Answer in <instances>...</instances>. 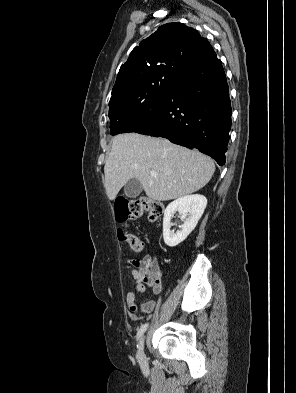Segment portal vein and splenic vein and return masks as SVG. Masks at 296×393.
<instances>
[{"mask_svg": "<svg viewBox=\"0 0 296 393\" xmlns=\"http://www.w3.org/2000/svg\"><path fill=\"white\" fill-rule=\"evenodd\" d=\"M151 176L156 177L157 176L156 172H151Z\"/></svg>", "mask_w": 296, "mask_h": 393, "instance_id": "portal-vein-and-splenic-vein-1", "label": "portal vein and splenic vein"}]
</instances>
